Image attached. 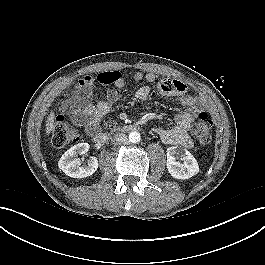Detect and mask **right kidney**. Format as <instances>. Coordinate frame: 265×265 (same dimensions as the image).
<instances>
[{
    "label": "right kidney",
    "instance_id": "obj_1",
    "mask_svg": "<svg viewBox=\"0 0 265 265\" xmlns=\"http://www.w3.org/2000/svg\"><path fill=\"white\" fill-rule=\"evenodd\" d=\"M90 145L88 143H79L67 150L58 162L59 168L68 176L73 178H84L92 175L98 168V160L96 157H91L88 164L80 166L82 160L75 158L78 154L88 152Z\"/></svg>",
    "mask_w": 265,
    "mask_h": 265
}]
</instances>
